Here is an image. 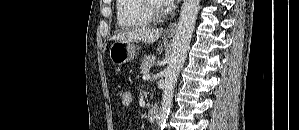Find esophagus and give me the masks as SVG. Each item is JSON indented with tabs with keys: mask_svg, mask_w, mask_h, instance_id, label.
Instances as JSON below:
<instances>
[{
	"mask_svg": "<svg viewBox=\"0 0 299 130\" xmlns=\"http://www.w3.org/2000/svg\"><path fill=\"white\" fill-rule=\"evenodd\" d=\"M177 28V21H173L170 25L166 28L165 32L167 34H174Z\"/></svg>",
	"mask_w": 299,
	"mask_h": 130,
	"instance_id": "esophagus-1",
	"label": "esophagus"
}]
</instances>
